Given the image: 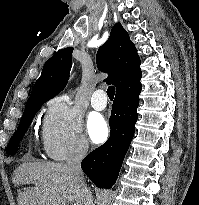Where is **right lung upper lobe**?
<instances>
[{"label": "right lung upper lobe", "instance_id": "obj_1", "mask_svg": "<svg viewBox=\"0 0 199 205\" xmlns=\"http://www.w3.org/2000/svg\"><path fill=\"white\" fill-rule=\"evenodd\" d=\"M72 52L73 47H67L47 60L27 103L37 99L49 100L64 89L72 65ZM96 63L101 72L108 73L105 82L115 85L116 91L142 74L137 49L120 23L113 26L108 40L98 49Z\"/></svg>", "mask_w": 199, "mask_h": 205}]
</instances>
